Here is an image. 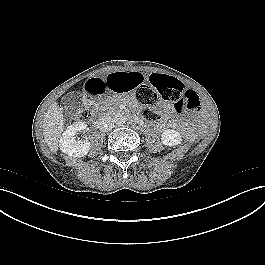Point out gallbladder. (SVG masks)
<instances>
[{
	"label": "gallbladder",
	"mask_w": 265,
	"mask_h": 265,
	"mask_svg": "<svg viewBox=\"0 0 265 265\" xmlns=\"http://www.w3.org/2000/svg\"><path fill=\"white\" fill-rule=\"evenodd\" d=\"M62 106L66 114L77 113L82 108L81 98L78 93H68L62 98Z\"/></svg>",
	"instance_id": "obj_1"
}]
</instances>
